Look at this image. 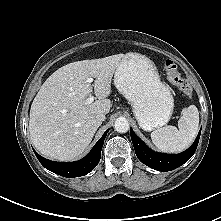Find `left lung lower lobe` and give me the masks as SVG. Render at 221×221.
I'll use <instances>...</instances> for the list:
<instances>
[{"label":"left lung lower lobe","mask_w":221,"mask_h":221,"mask_svg":"<svg viewBox=\"0 0 221 221\" xmlns=\"http://www.w3.org/2000/svg\"><path fill=\"white\" fill-rule=\"evenodd\" d=\"M200 134L201 130L194 143L186 151L179 154H163L151 150L130 128V136L138 159L158 171H170L187 162L196 151Z\"/></svg>","instance_id":"left-lung-lower-lobe-1"}]
</instances>
